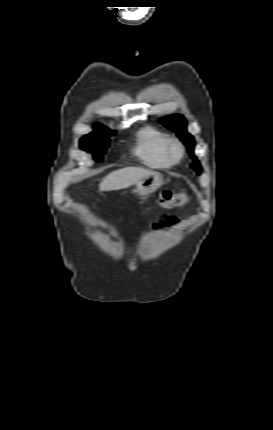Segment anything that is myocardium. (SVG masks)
<instances>
[{
	"label": "myocardium",
	"mask_w": 273,
	"mask_h": 430,
	"mask_svg": "<svg viewBox=\"0 0 273 430\" xmlns=\"http://www.w3.org/2000/svg\"><path fill=\"white\" fill-rule=\"evenodd\" d=\"M166 154L173 164L180 162L185 154L183 144L178 139L171 138L166 147Z\"/></svg>",
	"instance_id": "f54148a6"
}]
</instances>
